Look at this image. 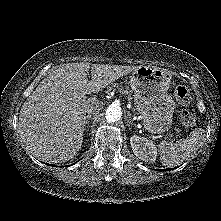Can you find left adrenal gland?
Masks as SVG:
<instances>
[{"label":"left adrenal gland","mask_w":221,"mask_h":221,"mask_svg":"<svg viewBox=\"0 0 221 221\" xmlns=\"http://www.w3.org/2000/svg\"><path fill=\"white\" fill-rule=\"evenodd\" d=\"M127 115H128V118H129V125H130V124H133V125L136 127V124L133 123V119H132L131 113H130L129 111L127 112Z\"/></svg>","instance_id":"obj_1"}]
</instances>
